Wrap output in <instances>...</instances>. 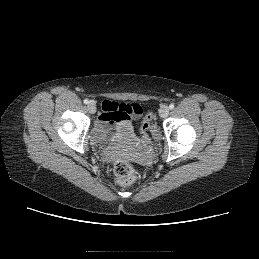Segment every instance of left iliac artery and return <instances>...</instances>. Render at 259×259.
I'll return each instance as SVG.
<instances>
[{
	"label": "left iliac artery",
	"mask_w": 259,
	"mask_h": 259,
	"mask_svg": "<svg viewBox=\"0 0 259 259\" xmlns=\"http://www.w3.org/2000/svg\"><path fill=\"white\" fill-rule=\"evenodd\" d=\"M174 107H175V105L173 104V103H171L170 105H169V108L172 110V109H174Z\"/></svg>",
	"instance_id": "44dca946"
}]
</instances>
